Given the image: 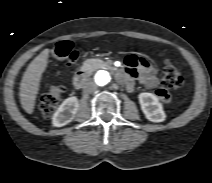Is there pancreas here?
Returning a JSON list of instances; mask_svg holds the SVG:
<instances>
[{
	"label": "pancreas",
	"instance_id": "1",
	"mask_svg": "<svg viewBox=\"0 0 212 183\" xmlns=\"http://www.w3.org/2000/svg\"><path fill=\"white\" fill-rule=\"evenodd\" d=\"M100 62V60H96V59H90V60H86L85 62H84V66H86L87 68L89 67V66H93V65H96V64H98ZM103 65H105V66H108V63H105V62H101Z\"/></svg>",
	"mask_w": 212,
	"mask_h": 183
}]
</instances>
